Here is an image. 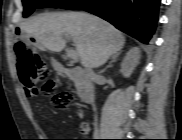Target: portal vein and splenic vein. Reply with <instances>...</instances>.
Wrapping results in <instances>:
<instances>
[{"label":"portal vein and splenic vein","instance_id":"portal-vein-and-splenic-vein-1","mask_svg":"<svg viewBox=\"0 0 182 140\" xmlns=\"http://www.w3.org/2000/svg\"><path fill=\"white\" fill-rule=\"evenodd\" d=\"M67 57L74 60V61H76L78 59V54L74 50H68L67 51Z\"/></svg>","mask_w":182,"mask_h":140}]
</instances>
